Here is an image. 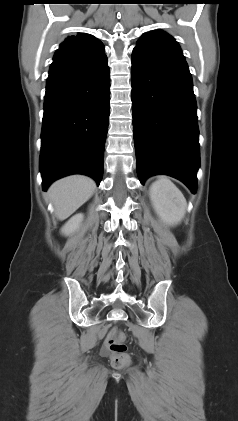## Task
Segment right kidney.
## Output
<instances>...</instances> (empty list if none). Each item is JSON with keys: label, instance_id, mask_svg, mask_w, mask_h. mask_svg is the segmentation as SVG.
Wrapping results in <instances>:
<instances>
[{"label": "right kidney", "instance_id": "obj_1", "mask_svg": "<svg viewBox=\"0 0 238 421\" xmlns=\"http://www.w3.org/2000/svg\"><path fill=\"white\" fill-rule=\"evenodd\" d=\"M84 216L83 214H76L68 220V222L61 228V233L69 236L74 233L80 226Z\"/></svg>", "mask_w": 238, "mask_h": 421}]
</instances>
